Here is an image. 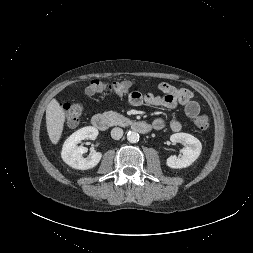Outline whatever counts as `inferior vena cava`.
<instances>
[{"mask_svg": "<svg viewBox=\"0 0 253 253\" xmlns=\"http://www.w3.org/2000/svg\"><path fill=\"white\" fill-rule=\"evenodd\" d=\"M123 136V130L119 127H115L111 130V137L115 140H119Z\"/></svg>", "mask_w": 253, "mask_h": 253, "instance_id": "602c4592", "label": "inferior vena cava"}]
</instances>
